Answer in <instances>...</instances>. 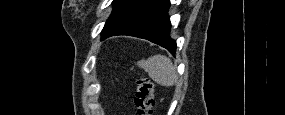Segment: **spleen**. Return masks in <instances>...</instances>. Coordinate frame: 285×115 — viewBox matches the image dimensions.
<instances>
[{"label":"spleen","instance_id":"1","mask_svg":"<svg viewBox=\"0 0 285 115\" xmlns=\"http://www.w3.org/2000/svg\"><path fill=\"white\" fill-rule=\"evenodd\" d=\"M137 65L144 69L152 80L162 86H173L178 79L175 66L165 55L150 56L147 60L139 61Z\"/></svg>","mask_w":285,"mask_h":115}]
</instances>
